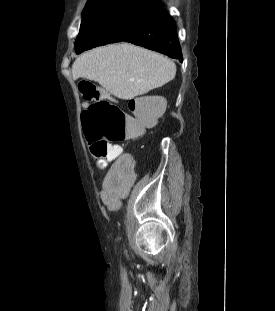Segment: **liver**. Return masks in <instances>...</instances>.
Wrapping results in <instances>:
<instances>
[{"label": "liver", "mask_w": 275, "mask_h": 311, "mask_svg": "<svg viewBox=\"0 0 275 311\" xmlns=\"http://www.w3.org/2000/svg\"><path fill=\"white\" fill-rule=\"evenodd\" d=\"M175 74L173 61L129 43L92 49L72 65L73 79L96 81L115 97L125 100L163 86Z\"/></svg>", "instance_id": "obj_1"}]
</instances>
